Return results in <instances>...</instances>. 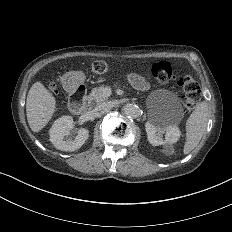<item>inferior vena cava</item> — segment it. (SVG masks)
Masks as SVG:
<instances>
[{
  "mask_svg": "<svg viewBox=\"0 0 232 232\" xmlns=\"http://www.w3.org/2000/svg\"><path fill=\"white\" fill-rule=\"evenodd\" d=\"M116 105H117V103L115 101L103 102L97 107V110H99V111H101V110H110Z\"/></svg>",
  "mask_w": 232,
  "mask_h": 232,
  "instance_id": "602c4592",
  "label": "inferior vena cava"
}]
</instances>
